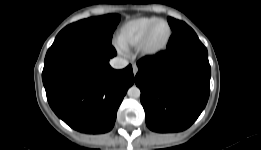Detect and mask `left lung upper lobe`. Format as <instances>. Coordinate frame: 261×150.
<instances>
[{"label":"left lung upper lobe","mask_w":261,"mask_h":150,"mask_svg":"<svg viewBox=\"0 0 261 150\" xmlns=\"http://www.w3.org/2000/svg\"><path fill=\"white\" fill-rule=\"evenodd\" d=\"M168 22H169V25L171 26V29L173 30V32L177 31L187 25L186 23L176 20L171 17L168 18Z\"/></svg>","instance_id":"1"}]
</instances>
